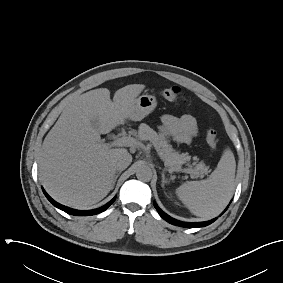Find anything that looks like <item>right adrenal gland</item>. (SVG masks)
Returning <instances> with one entry per match:
<instances>
[{
	"mask_svg": "<svg viewBox=\"0 0 283 283\" xmlns=\"http://www.w3.org/2000/svg\"><path fill=\"white\" fill-rule=\"evenodd\" d=\"M119 174H120V172L119 173H117L116 175H115V177H114V180H113V187H114V185H115V183H116V181H117V178L119 177Z\"/></svg>",
	"mask_w": 283,
	"mask_h": 283,
	"instance_id": "1",
	"label": "right adrenal gland"
}]
</instances>
